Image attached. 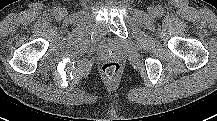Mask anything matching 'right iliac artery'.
Masks as SVG:
<instances>
[{
    "instance_id": "right-iliac-artery-1",
    "label": "right iliac artery",
    "mask_w": 217,
    "mask_h": 121,
    "mask_svg": "<svg viewBox=\"0 0 217 121\" xmlns=\"http://www.w3.org/2000/svg\"><path fill=\"white\" fill-rule=\"evenodd\" d=\"M59 12V9L58 8H55L54 10H53V13L54 14H57Z\"/></svg>"
}]
</instances>
